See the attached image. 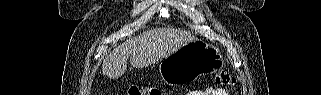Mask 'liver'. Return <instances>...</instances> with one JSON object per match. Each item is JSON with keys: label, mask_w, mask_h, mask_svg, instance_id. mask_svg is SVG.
Here are the masks:
<instances>
[{"label": "liver", "mask_w": 321, "mask_h": 95, "mask_svg": "<svg viewBox=\"0 0 321 95\" xmlns=\"http://www.w3.org/2000/svg\"><path fill=\"white\" fill-rule=\"evenodd\" d=\"M195 40L193 34L182 30L158 28L147 31L110 52L103 61L102 73L117 79L126 72L129 57L133 67H147Z\"/></svg>", "instance_id": "liver-1"}]
</instances>
